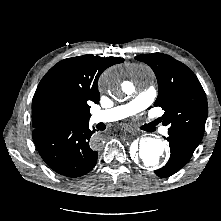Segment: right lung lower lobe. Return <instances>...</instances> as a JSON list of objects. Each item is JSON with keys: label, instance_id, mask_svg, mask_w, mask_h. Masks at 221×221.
I'll return each mask as SVG.
<instances>
[{"label": "right lung lower lobe", "instance_id": "1", "mask_svg": "<svg viewBox=\"0 0 221 221\" xmlns=\"http://www.w3.org/2000/svg\"><path fill=\"white\" fill-rule=\"evenodd\" d=\"M89 122L58 123L35 128L33 140L46 164L67 177H80L90 172L97 162Z\"/></svg>", "mask_w": 221, "mask_h": 221}]
</instances>
